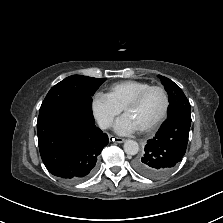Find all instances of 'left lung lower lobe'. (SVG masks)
<instances>
[{"instance_id":"left-lung-lower-lobe-1","label":"left lung lower lobe","mask_w":223,"mask_h":223,"mask_svg":"<svg viewBox=\"0 0 223 223\" xmlns=\"http://www.w3.org/2000/svg\"><path fill=\"white\" fill-rule=\"evenodd\" d=\"M191 118L176 114L168 117L155 137L147 141L144 153L133 162L144 177L161 179L169 175L182 160L188 143Z\"/></svg>"}]
</instances>
